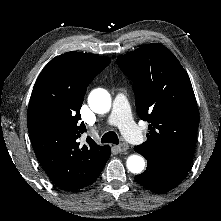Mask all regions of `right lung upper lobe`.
Returning a JSON list of instances; mask_svg holds the SVG:
<instances>
[{
    "label": "right lung upper lobe",
    "instance_id": "obj_1",
    "mask_svg": "<svg viewBox=\"0 0 221 221\" xmlns=\"http://www.w3.org/2000/svg\"><path fill=\"white\" fill-rule=\"evenodd\" d=\"M111 60L90 53L68 52L51 60L38 76L29 102L27 124L34 152L48 177L68 191L95 182L110 157L80 120L87 86Z\"/></svg>",
    "mask_w": 221,
    "mask_h": 221
}]
</instances>
